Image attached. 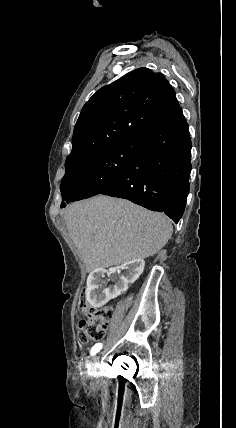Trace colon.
Listing matches in <instances>:
<instances>
[{
    "instance_id": "obj_1",
    "label": "colon",
    "mask_w": 236,
    "mask_h": 428,
    "mask_svg": "<svg viewBox=\"0 0 236 428\" xmlns=\"http://www.w3.org/2000/svg\"><path fill=\"white\" fill-rule=\"evenodd\" d=\"M79 309L84 315L78 326L79 341L88 343L104 338L112 319V310L108 307L95 308L89 305L85 288L81 290L79 296Z\"/></svg>"
}]
</instances>
